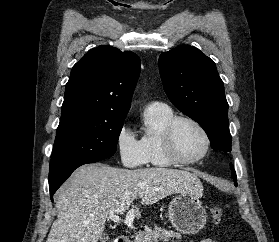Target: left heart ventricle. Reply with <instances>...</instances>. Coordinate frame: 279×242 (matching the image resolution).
<instances>
[{"label": "left heart ventricle", "instance_id": "1", "mask_svg": "<svg viewBox=\"0 0 279 242\" xmlns=\"http://www.w3.org/2000/svg\"><path fill=\"white\" fill-rule=\"evenodd\" d=\"M174 142L181 157L193 159L202 154L204 139L200 131L191 123L181 121L174 131Z\"/></svg>", "mask_w": 279, "mask_h": 242}]
</instances>
